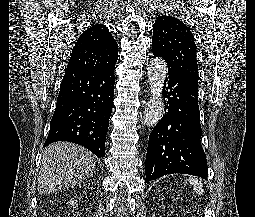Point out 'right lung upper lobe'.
<instances>
[{
	"instance_id": "obj_1",
	"label": "right lung upper lobe",
	"mask_w": 255,
	"mask_h": 217,
	"mask_svg": "<svg viewBox=\"0 0 255 217\" xmlns=\"http://www.w3.org/2000/svg\"><path fill=\"white\" fill-rule=\"evenodd\" d=\"M118 45L103 24L85 30L72 49L66 71H96L116 64Z\"/></svg>"
}]
</instances>
